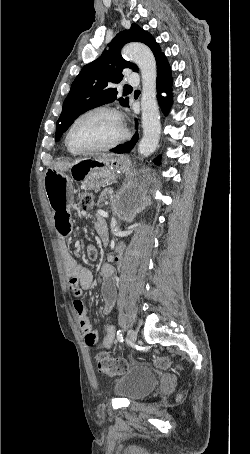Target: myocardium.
<instances>
[{"label": "myocardium", "instance_id": "1", "mask_svg": "<svg viewBox=\"0 0 250 454\" xmlns=\"http://www.w3.org/2000/svg\"><path fill=\"white\" fill-rule=\"evenodd\" d=\"M98 112H107V113L113 114L119 122L120 129H121L120 134L114 140H112L111 142H109L105 145H102V146L89 148V149H78V148L74 147V145L71 142V135H72V131H73L74 127L83 118H85L91 114L98 113ZM128 135H129L128 129L123 121L122 115L120 114V112L117 109L110 107V106H96V107H93V108L83 112L73 121V123L70 125L67 135H66V144L73 153L92 154V153H97V152L108 151V150L115 148L116 146H118L122 142H124L127 139Z\"/></svg>", "mask_w": 250, "mask_h": 454}]
</instances>
